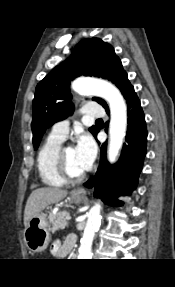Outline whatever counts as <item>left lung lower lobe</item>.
Wrapping results in <instances>:
<instances>
[{
    "label": "left lung lower lobe",
    "mask_w": 175,
    "mask_h": 287,
    "mask_svg": "<svg viewBox=\"0 0 175 287\" xmlns=\"http://www.w3.org/2000/svg\"><path fill=\"white\" fill-rule=\"evenodd\" d=\"M123 96L127 102L128 126L119 161L113 167L109 165L106 161V144H103L98 171L84 183L88 188L94 187V196L101 197L104 203L111 206L123 205L117 197L129 195L136 188L146 155L147 129L140 100L132 85ZM106 111L109 114V110Z\"/></svg>",
    "instance_id": "obj_1"
}]
</instances>
